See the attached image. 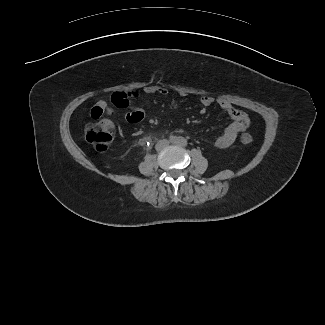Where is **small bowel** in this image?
Wrapping results in <instances>:
<instances>
[{"mask_svg": "<svg viewBox=\"0 0 325 325\" xmlns=\"http://www.w3.org/2000/svg\"><path fill=\"white\" fill-rule=\"evenodd\" d=\"M144 92L147 94H159L161 96H166L168 91L166 88L161 86H148L144 89ZM181 96L185 97L187 94L185 92L180 93ZM139 98L140 93L137 91H133L130 93H116L113 96V104L115 106H110L105 101L97 102L91 110V117L99 118L102 114H107L111 117H117L120 114L119 110H126L131 105L130 98ZM200 102L203 106H210L215 102V99L211 96H202L200 98ZM217 104L226 111L229 116L232 118V123L229 124L222 134L218 136L216 139V146L218 148H227L232 145L238 136L243 133L249 124L248 116L236 109L229 101L219 98L216 100ZM204 112V110H202ZM145 116L144 109L139 105H134L131 107V110L124 114V118L129 123H138Z\"/></svg>", "mask_w": 325, "mask_h": 325, "instance_id": "small-bowel-1", "label": "small bowel"}]
</instances>
